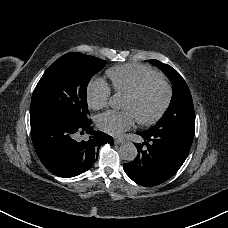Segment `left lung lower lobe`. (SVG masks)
I'll return each instance as SVG.
<instances>
[{"label":"left lung lower lobe","instance_id":"left-lung-lower-lobe-1","mask_svg":"<svg viewBox=\"0 0 228 228\" xmlns=\"http://www.w3.org/2000/svg\"><path fill=\"white\" fill-rule=\"evenodd\" d=\"M138 155L124 164L126 174L143 186L159 185L171 178L188 156L194 134L148 129L138 133Z\"/></svg>","mask_w":228,"mask_h":228}]
</instances>
